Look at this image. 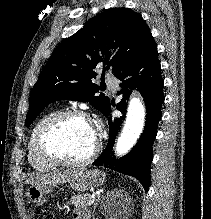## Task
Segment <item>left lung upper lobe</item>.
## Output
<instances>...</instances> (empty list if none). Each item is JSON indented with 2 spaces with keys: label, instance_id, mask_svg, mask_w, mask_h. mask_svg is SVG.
<instances>
[{
  "label": "left lung upper lobe",
  "instance_id": "left-lung-upper-lobe-1",
  "mask_svg": "<svg viewBox=\"0 0 211 219\" xmlns=\"http://www.w3.org/2000/svg\"><path fill=\"white\" fill-rule=\"evenodd\" d=\"M151 35L137 12L111 8L94 16L83 28L62 41L54 50L30 93L26 126L51 102L62 99L89 102L106 113L110 99L92 82L96 66L116 77L140 51ZM108 47L119 48L111 58ZM104 72L102 80L104 79Z\"/></svg>",
  "mask_w": 211,
  "mask_h": 219
}]
</instances>
